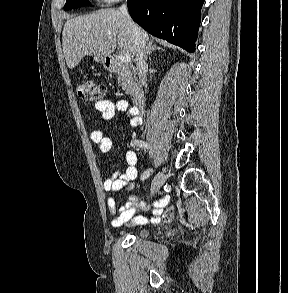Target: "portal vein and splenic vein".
<instances>
[{
    "label": "portal vein and splenic vein",
    "mask_w": 288,
    "mask_h": 293,
    "mask_svg": "<svg viewBox=\"0 0 288 293\" xmlns=\"http://www.w3.org/2000/svg\"><path fill=\"white\" fill-rule=\"evenodd\" d=\"M119 59L121 62L128 63L131 61V56L129 55V53L124 52L120 54Z\"/></svg>",
    "instance_id": "18ae733b"
}]
</instances>
